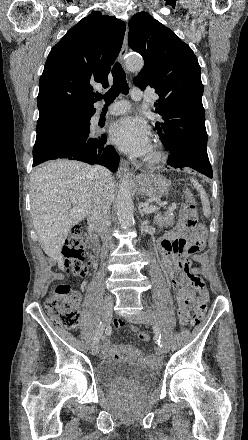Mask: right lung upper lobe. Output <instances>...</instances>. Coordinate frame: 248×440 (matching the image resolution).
<instances>
[{
	"label": "right lung upper lobe",
	"mask_w": 248,
	"mask_h": 440,
	"mask_svg": "<svg viewBox=\"0 0 248 440\" xmlns=\"http://www.w3.org/2000/svg\"><path fill=\"white\" fill-rule=\"evenodd\" d=\"M125 28L121 20L94 11L52 48L39 81L37 130L95 113L92 84L109 86L107 77Z\"/></svg>",
	"instance_id": "obj_1"
}]
</instances>
